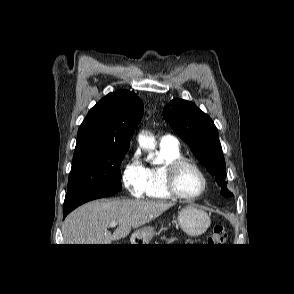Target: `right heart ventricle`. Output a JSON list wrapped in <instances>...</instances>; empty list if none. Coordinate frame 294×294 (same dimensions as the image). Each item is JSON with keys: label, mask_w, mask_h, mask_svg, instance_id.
I'll return each mask as SVG.
<instances>
[{"label": "right heart ventricle", "mask_w": 294, "mask_h": 294, "mask_svg": "<svg viewBox=\"0 0 294 294\" xmlns=\"http://www.w3.org/2000/svg\"><path fill=\"white\" fill-rule=\"evenodd\" d=\"M162 159L160 165L146 167L145 170V195L148 199L168 201L173 199L166 189V167L170 162L181 158L182 154L178 147L159 146Z\"/></svg>", "instance_id": "1"}]
</instances>
